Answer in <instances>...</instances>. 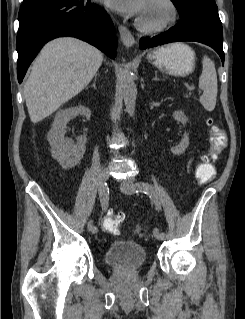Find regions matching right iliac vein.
Segmentation results:
<instances>
[{
    "label": "right iliac vein",
    "mask_w": 245,
    "mask_h": 319,
    "mask_svg": "<svg viewBox=\"0 0 245 319\" xmlns=\"http://www.w3.org/2000/svg\"><path fill=\"white\" fill-rule=\"evenodd\" d=\"M109 179V173H108V170H104L102 171V173L100 174L99 176V180H98V189H99V195L101 196L102 195V188L103 186L105 185L106 181ZM93 222L92 221H89L88 224H87V228L89 231H92L93 232Z\"/></svg>",
    "instance_id": "right-iliac-vein-1"
}]
</instances>
